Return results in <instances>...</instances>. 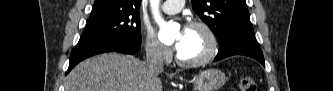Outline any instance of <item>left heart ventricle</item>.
<instances>
[{
    "label": "left heart ventricle",
    "instance_id": "obj_1",
    "mask_svg": "<svg viewBox=\"0 0 333 91\" xmlns=\"http://www.w3.org/2000/svg\"><path fill=\"white\" fill-rule=\"evenodd\" d=\"M208 39L205 33L199 28H187L185 40L179 55L186 60H195L208 50Z\"/></svg>",
    "mask_w": 333,
    "mask_h": 91
}]
</instances>
